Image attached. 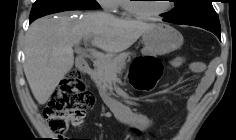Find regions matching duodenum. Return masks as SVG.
<instances>
[{
  "label": "duodenum",
  "mask_w": 236,
  "mask_h": 140,
  "mask_svg": "<svg viewBox=\"0 0 236 140\" xmlns=\"http://www.w3.org/2000/svg\"><path fill=\"white\" fill-rule=\"evenodd\" d=\"M77 66L80 70L89 73L90 71V67L87 61V57L85 55H80L77 59ZM106 103L111 107V109L113 110L114 113H116V115L123 120L128 119L130 115L129 110L122 104L118 103V102H113V101H109L106 100Z\"/></svg>",
  "instance_id": "410a0bca"
}]
</instances>
